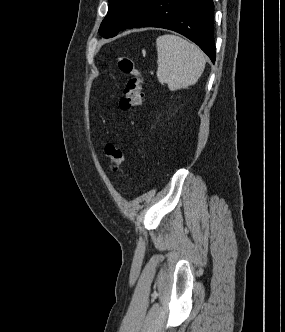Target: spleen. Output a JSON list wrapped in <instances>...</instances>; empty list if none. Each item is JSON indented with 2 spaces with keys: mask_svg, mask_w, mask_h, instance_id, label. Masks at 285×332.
Returning a JSON list of instances; mask_svg holds the SVG:
<instances>
[{
  "mask_svg": "<svg viewBox=\"0 0 285 332\" xmlns=\"http://www.w3.org/2000/svg\"><path fill=\"white\" fill-rule=\"evenodd\" d=\"M157 78L171 91L196 84L205 68L203 52L180 36L165 34L156 39Z\"/></svg>",
  "mask_w": 285,
  "mask_h": 332,
  "instance_id": "obj_1",
  "label": "spleen"
}]
</instances>
